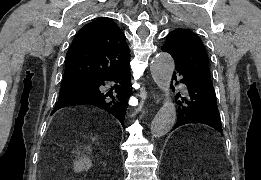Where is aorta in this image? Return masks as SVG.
<instances>
[{"instance_id":"obj_1","label":"aorta","mask_w":261,"mask_h":180,"mask_svg":"<svg viewBox=\"0 0 261 180\" xmlns=\"http://www.w3.org/2000/svg\"><path fill=\"white\" fill-rule=\"evenodd\" d=\"M174 67L173 58L165 52L156 55L151 64L152 78L158 88L165 93L164 103L151 123V134L156 137H161L168 133L176 121V107L170 97V85Z\"/></svg>"}]
</instances>
